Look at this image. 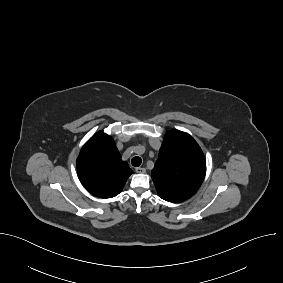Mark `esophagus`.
Segmentation results:
<instances>
[{
    "instance_id": "esophagus-1",
    "label": "esophagus",
    "mask_w": 283,
    "mask_h": 283,
    "mask_svg": "<svg viewBox=\"0 0 283 283\" xmlns=\"http://www.w3.org/2000/svg\"><path fill=\"white\" fill-rule=\"evenodd\" d=\"M135 171H136V173H145L146 169L143 168V167H137V168H135Z\"/></svg>"
}]
</instances>
